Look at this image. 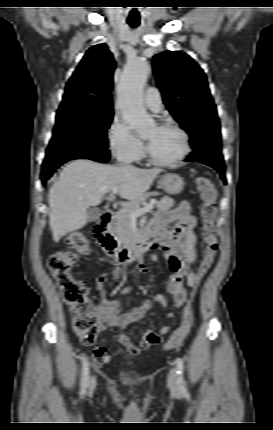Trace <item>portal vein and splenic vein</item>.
Listing matches in <instances>:
<instances>
[{
	"label": "portal vein and splenic vein",
	"instance_id": "1",
	"mask_svg": "<svg viewBox=\"0 0 273 430\" xmlns=\"http://www.w3.org/2000/svg\"><path fill=\"white\" fill-rule=\"evenodd\" d=\"M120 187L116 186L111 189V196H113L115 193L119 191ZM156 199H151L148 204H146L144 207L139 208L135 211L130 212V218L131 220H135L137 217L144 215L147 212H150L153 209L154 204H156Z\"/></svg>",
	"mask_w": 273,
	"mask_h": 430
}]
</instances>
